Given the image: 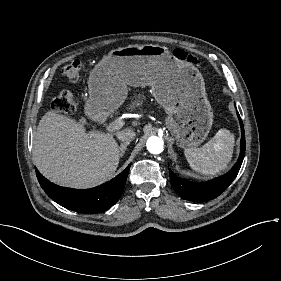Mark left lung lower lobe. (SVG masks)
<instances>
[{
	"label": "left lung lower lobe",
	"instance_id": "left-lung-lower-lobe-1",
	"mask_svg": "<svg viewBox=\"0 0 281 281\" xmlns=\"http://www.w3.org/2000/svg\"><path fill=\"white\" fill-rule=\"evenodd\" d=\"M241 125V148L237 163L232 170L222 177L215 178L208 182H192L183 178L176 177V175L169 169L170 183L174 190L182 198L195 201L204 202L214 199L219 196L232 183L237 176L245 155V134L242 120L237 112Z\"/></svg>",
	"mask_w": 281,
	"mask_h": 281
}]
</instances>
